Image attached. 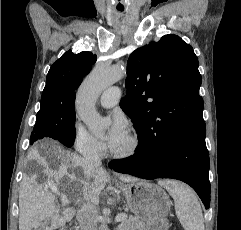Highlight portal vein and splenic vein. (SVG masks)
Here are the masks:
<instances>
[{
	"mask_svg": "<svg viewBox=\"0 0 241 230\" xmlns=\"http://www.w3.org/2000/svg\"><path fill=\"white\" fill-rule=\"evenodd\" d=\"M62 196H63L64 199H66V197L64 196V194H62ZM127 217H128V216H127L126 214L122 213V214H120V215H118V216L116 217V221H117V222L123 221V220L127 219Z\"/></svg>",
	"mask_w": 241,
	"mask_h": 230,
	"instance_id": "1",
	"label": "portal vein and splenic vein"
}]
</instances>
